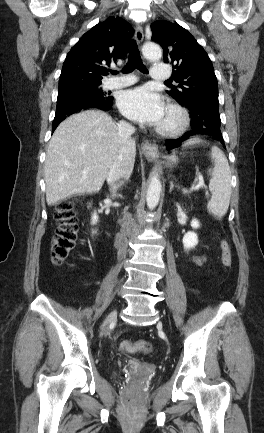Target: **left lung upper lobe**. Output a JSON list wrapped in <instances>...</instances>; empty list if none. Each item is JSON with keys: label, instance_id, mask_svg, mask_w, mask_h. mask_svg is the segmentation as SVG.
Wrapping results in <instances>:
<instances>
[{"label": "left lung upper lobe", "instance_id": "obj_1", "mask_svg": "<svg viewBox=\"0 0 264 433\" xmlns=\"http://www.w3.org/2000/svg\"><path fill=\"white\" fill-rule=\"evenodd\" d=\"M152 40L163 48L166 63L173 65V79L179 83L167 93L178 103L196 100L218 102V85L208 54L195 38L177 23L156 21L151 24Z\"/></svg>", "mask_w": 264, "mask_h": 433}]
</instances>
